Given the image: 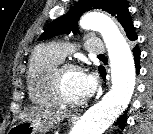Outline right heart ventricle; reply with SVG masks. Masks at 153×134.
<instances>
[{"label":"right heart ventricle","mask_w":153,"mask_h":134,"mask_svg":"<svg viewBox=\"0 0 153 134\" xmlns=\"http://www.w3.org/2000/svg\"><path fill=\"white\" fill-rule=\"evenodd\" d=\"M62 62L50 46H38L34 49L27 67L26 81L30 100L42 107L58 106L51 76L54 68Z\"/></svg>","instance_id":"e07e8e85"}]
</instances>
